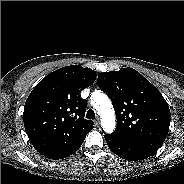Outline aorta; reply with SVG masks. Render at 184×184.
Listing matches in <instances>:
<instances>
[{
  "label": "aorta",
  "instance_id": "762f6f07",
  "mask_svg": "<svg viewBox=\"0 0 184 184\" xmlns=\"http://www.w3.org/2000/svg\"><path fill=\"white\" fill-rule=\"evenodd\" d=\"M93 107L101 116L102 128L106 133L113 132L115 128V117L112 103L108 96L101 92H95L91 99Z\"/></svg>",
  "mask_w": 184,
  "mask_h": 184
}]
</instances>
